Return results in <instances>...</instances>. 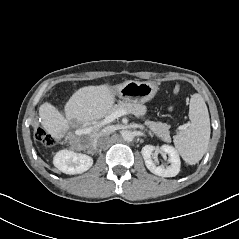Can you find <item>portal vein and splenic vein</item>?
Wrapping results in <instances>:
<instances>
[{
  "mask_svg": "<svg viewBox=\"0 0 239 239\" xmlns=\"http://www.w3.org/2000/svg\"><path fill=\"white\" fill-rule=\"evenodd\" d=\"M128 114L129 113L126 110H123V109L116 110L115 112H113L109 116H107L101 123L97 124L95 127L99 128L102 125L110 123L113 120H115V119H117V118H119L121 116L128 115Z\"/></svg>",
  "mask_w": 239,
  "mask_h": 239,
  "instance_id": "portal-vein-and-splenic-vein-1",
  "label": "portal vein and splenic vein"
}]
</instances>
